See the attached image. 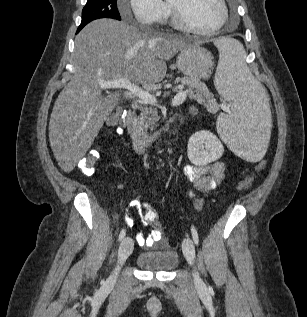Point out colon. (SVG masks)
Instances as JSON below:
<instances>
[{"label": "colon", "mask_w": 307, "mask_h": 317, "mask_svg": "<svg viewBox=\"0 0 307 317\" xmlns=\"http://www.w3.org/2000/svg\"><path fill=\"white\" fill-rule=\"evenodd\" d=\"M127 130L126 121L123 118L117 120L115 124V132L117 134L125 133ZM99 160V150L97 148L88 150L86 154L83 156L82 160L80 161L79 167L83 173L87 175H92L95 170V165ZM266 167V162L261 161L257 163L253 171L246 175L243 179H241L237 184L238 190H247L253 184L256 175L262 172ZM144 220L149 225H151L156 231L162 232V224L159 220L157 212L150 207L149 205H145V213H144Z\"/></svg>", "instance_id": "5ec220e1"}]
</instances>
